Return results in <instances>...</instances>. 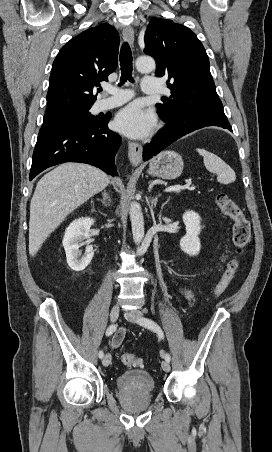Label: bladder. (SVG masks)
Masks as SVG:
<instances>
[{
  "mask_svg": "<svg viewBox=\"0 0 272 452\" xmlns=\"http://www.w3.org/2000/svg\"><path fill=\"white\" fill-rule=\"evenodd\" d=\"M120 390L152 393L155 389V380L151 373L141 369L127 370L116 379Z\"/></svg>",
  "mask_w": 272,
  "mask_h": 452,
  "instance_id": "1",
  "label": "bladder"
}]
</instances>
